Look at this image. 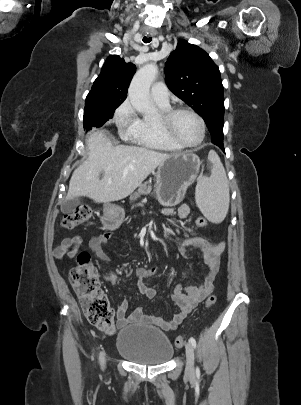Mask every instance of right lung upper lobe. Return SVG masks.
I'll return each mask as SVG.
<instances>
[{
	"mask_svg": "<svg viewBox=\"0 0 301 405\" xmlns=\"http://www.w3.org/2000/svg\"><path fill=\"white\" fill-rule=\"evenodd\" d=\"M136 67L118 55L109 57L87 95L86 103L101 100L109 106H119L127 97L128 86Z\"/></svg>",
	"mask_w": 301,
	"mask_h": 405,
	"instance_id": "obj_1",
	"label": "right lung upper lobe"
}]
</instances>
